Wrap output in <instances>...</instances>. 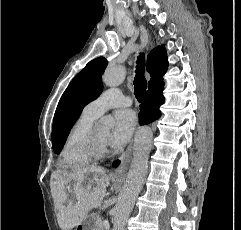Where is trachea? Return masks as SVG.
<instances>
[{"instance_id": "obj_1", "label": "trachea", "mask_w": 241, "mask_h": 230, "mask_svg": "<svg viewBox=\"0 0 241 230\" xmlns=\"http://www.w3.org/2000/svg\"><path fill=\"white\" fill-rule=\"evenodd\" d=\"M145 69L144 54L140 55L137 60L136 76L134 79V94L139 102L144 100L147 88V81L143 75Z\"/></svg>"}]
</instances>
